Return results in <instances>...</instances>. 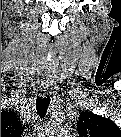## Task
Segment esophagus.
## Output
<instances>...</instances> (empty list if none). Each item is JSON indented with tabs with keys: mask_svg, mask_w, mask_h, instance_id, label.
<instances>
[{
	"mask_svg": "<svg viewBox=\"0 0 121 137\" xmlns=\"http://www.w3.org/2000/svg\"><path fill=\"white\" fill-rule=\"evenodd\" d=\"M48 94H49V89H48V87H44V88L42 89V96H43V97H46Z\"/></svg>",
	"mask_w": 121,
	"mask_h": 137,
	"instance_id": "1",
	"label": "esophagus"
}]
</instances>
